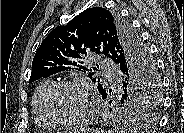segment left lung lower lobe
I'll list each match as a JSON object with an SVG mask.
<instances>
[{
	"mask_svg": "<svg viewBox=\"0 0 184 133\" xmlns=\"http://www.w3.org/2000/svg\"><path fill=\"white\" fill-rule=\"evenodd\" d=\"M119 70L121 71V68H119ZM102 98H106L107 97V92L106 90L101 92ZM111 111V110H110ZM126 117H130L131 121H136L139 119L138 117H133V116H126Z\"/></svg>",
	"mask_w": 184,
	"mask_h": 133,
	"instance_id": "0a47b994",
	"label": "left lung lower lobe"
}]
</instances>
